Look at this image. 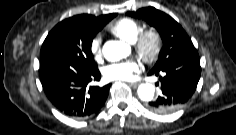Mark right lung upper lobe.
Here are the masks:
<instances>
[{
  "label": "right lung upper lobe",
  "mask_w": 236,
  "mask_h": 135,
  "mask_svg": "<svg viewBox=\"0 0 236 135\" xmlns=\"http://www.w3.org/2000/svg\"><path fill=\"white\" fill-rule=\"evenodd\" d=\"M111 15L112 14H107V15H101V16L95 17V16L89 15V14H82V15L74 16V18H79L84 21L100 25V24L106 22L107 20H109Z\"/></svg>",
  "instance_id": "right-lung-upper-lobe-1"
}]
</instances>
